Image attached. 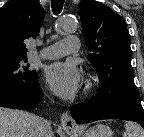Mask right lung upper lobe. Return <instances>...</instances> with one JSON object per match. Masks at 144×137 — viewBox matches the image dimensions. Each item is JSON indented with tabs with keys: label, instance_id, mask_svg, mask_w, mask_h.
I'll return each instance as SVG.
<instances>
[{
	"label": "right lung upper lobe",
	"instance_id": "obj_1",
	"mask_svg": "<svg viewBox=\"0 0 144 137\" xmlns=\"http://www.w3.org/2000/svg\"><path fill=\"white\" fill-rule=\"evenodd\" d=\"M43 20L37 0H9L0 9V65L26 57L24 41L36 38Z\"/></svg>",
	"mask_w": 144,
	"mask_h": 137
}]
</instances>
